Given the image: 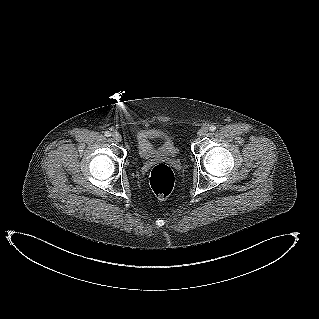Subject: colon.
<instances>
[{
    "mask_svg": "<svg viewBox=\"0 0 319 319\" xmlns=\"http://www.w3.org/2000/svg\"><path fill=\"white\" fill-rule=\"evenodd\" d=\"M174 183V172L168 165L158 164L151 170L150 186L157 197H168L173 190Z\"/></svg>",
    "mask_w": 319,
    "mask_h": 319,
    "instance_id": "colon-1",
    "label": "colon"
}]
</instances>
